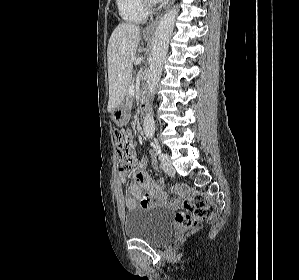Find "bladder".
Listing matches in <instances>:
<instances>
[{
    "label": "bladder",
    "mask_w": 299,
    "mask_h": 280,
    "mask_svg": "<svg viewBox=\"0 0 299 280\" xmlns=\"http://www.w3.org/2000/svg\"><path fill=\"white\" fill-rule=\"evenodd\" d=\"M124 233L130 239H139L154 246H162L171 238L175 222L168 209L160 206L136 208L124 215Z\"/></svg>",
    "instance_id": "1"
}]
</instances>
